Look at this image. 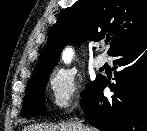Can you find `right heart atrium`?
Instances as JSON below:
<instances>
[{
  "label": "right heart atrium",
  "instance_id": "1",
  "mask_svg": "<svg viewBox=\"0 0 147 131\" xmlns=\"http://www.w3.org/2000/svg\"><path fill=\"white\" fill-rule=\"evenodd\" d=\"M54 107L66 111L79 97L81 83L78 74L72 69L54 70L48 81Z\"/></svg>",
  "mask_w": 147,
  "mask_h": 131
}]
</instances>
